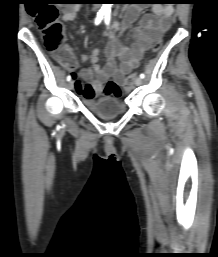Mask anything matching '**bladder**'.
I'll return each mask as SVG.
<instances>
[{
	"label": "bladder",
	"instance_id": "bladder-1",
	"mask_svg": "<svg viewBox=\"0 0 218 257\" xmlns=\"http://www.w3.org/2000/svg\"><path fill=\"white\" fill-rule=\"evenodd\" d=\"M84 105L95 114L110 118L123 114L125 104L115 96H102L96 99H84Z\"/></svg>",
	"mask_w": 218,
	"mask_h": 257
}]
</instances>
